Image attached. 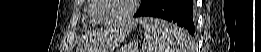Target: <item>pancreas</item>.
Wrapping results in <instances>:
<instances>
[{
	"label": "pancreas",
	"mask_w": 261,
	"mask_h": 52,
	"mask_svg": "<svg viewBox=\"0 0 261 52\" xmlns=\"http://www.w3.org/2000/svg\"><path fill=\"white\" fill-rule=\"evenodd\" d=\"M126 52H133V50L129 49V48H125Z\"/></svg>",
	"instance_id": "obj_1"
}]
</instances>
